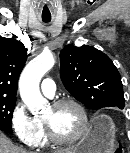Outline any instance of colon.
<instances>
[{"label": "colon", "instance_id": "1", "mask_svg": "<svg viewBox=\"0 0 130 153\" xmlns=\"http://www.w3.org/2000/svg\"><path fill=\"white\" fill-rule=\"evenodd\" d=\"M117 152H122V149L121 148L117 149Z\"/></svg>", "mask_w": 130, "mask_h": 153}]
</instances>
